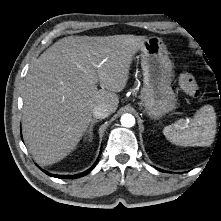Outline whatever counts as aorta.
I'll return each mask as SVG.
<instances>
[{"label": "aorta", "mask_w": 221, "mask_h": 221, "mask_svg": "<svg viewBox=\"0 0 221 221\" xmlns=\"http://www.w3.org/2000/svg\"><path fill=\"white\" fill-rule=\"evenodd\" d=\"M121 124L124 127H132L135 124V118L131 114H124L121 116Z\"/></svg>", "instance_id": "1"}]
</instances>
